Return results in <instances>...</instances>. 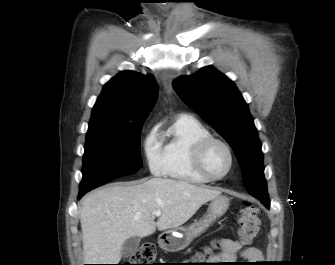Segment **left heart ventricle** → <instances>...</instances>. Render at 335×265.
<instances>
[{"instance_id": "left-heart-ventricle-1", "label": "left heart ventricle", "mask_w": 335, "mask_h": 265, "mask_svg": "<svg viewBox=\"0 0 335 265\" xmlns=\"http://www.w3.org/2000/svg\"><path fill=\"white\" fill-rule=\"evenodd\" d=\"M204 165L214 176L224 174L229 166V155L226 149L220 144H211L205 152Z\"/></svg>"}]
</instances>
